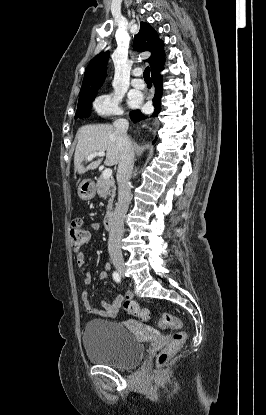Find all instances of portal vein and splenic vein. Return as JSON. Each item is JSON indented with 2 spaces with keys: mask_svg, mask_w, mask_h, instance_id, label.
Segmentation results:
<instances>
[{
  "mask_svg": "<svg viewBox=\"0 0 266 415\" xmlns=\"http://www.w3.org/2000/svg\"><path fill=\"white\" fill-rule=\"evenodd\" d=\"M96 156H101V157H103V156H105V153H104V151H98V152H95V153H92V154H90L89 156H87V160L88 161H91L94 157H96ZM112 176V169L111 168H106V169H104V171L102 172V177L104 178V179H108V178H110Z\"/></svg>",
  "mask_w": 266,
  "mask_h": 415,
  "instance_id": "18ae733b",
  "label": "portal vein and splenic vein"
}]
</instances>
